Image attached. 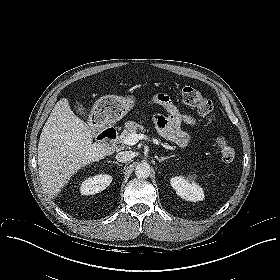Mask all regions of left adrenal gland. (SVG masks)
<instances>
[{
	"mask_svg": "<svg viewBox=\"0 0 280 280\" xmlns=\"http://www.w3.org/2000/svg\"><path fill=\"white\" fill-rule=\"evenodd\" d=\"M171 157H174V155L165 156V157H157V161L162 162V161H164V160H166V159H169V158H171Z\"/></svg>",
	"mask_w": 280,
	"mask_h": 280,
	"instance_id": "left-adrenal-gland-1",
	"label": "left adrenal gland"
}]
</instances>
